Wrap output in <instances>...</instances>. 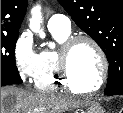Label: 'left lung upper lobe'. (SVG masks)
Wrapping results in <instances>:
<instances>
[{"instance_id": "obj_1", "label": "left lung upper lobe", "mask_w": 123, "mask_h": 113, "mask_svg": "<svg viewBox=\"0 0 123 113\" xmlns=\"http://www.w3.org/2000/svg\"><path fill=\"white\" fill-rule=\"evenodd\" d=\"M106 54V95H123V0H58Z\"/></svg>"}]
</instances>
